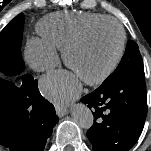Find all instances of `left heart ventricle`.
<instances>
[{
	"label": "left heart ventricle",
	"mask_w": 151,
	"mask_h": 151,
	"mask_svg": "<svg viewBox=\"0 0 151 151\" xmlns=\"http://www.w3.org/2000/svg\"><path fill=\"white\" fill-rule=\"evenodd\" d=\"M118 44L117 28L113 24H103L70 52V68L83 81L91 79L111 64L117 54Z\"/></svg>",
	"instance_id": "b2bd125f"
}]
</instances>
